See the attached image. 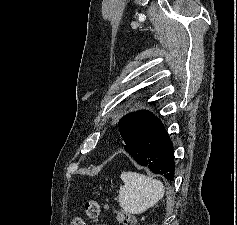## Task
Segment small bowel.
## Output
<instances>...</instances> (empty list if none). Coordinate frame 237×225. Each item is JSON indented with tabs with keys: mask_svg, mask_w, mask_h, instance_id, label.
I'll use <instances>...</instances> for the list:
<instances>
[{
	"mask_svg": "<svg viewBox=\"0 0 237 225\" xmlns=\"http://www.w3.org/2000/svg\"><path fill=\"white\" fill-rule=\"evenodd\" d=\"M98 225H107V224H98Z\"/></svg>",
	"mask_w": 237,
	"mask_h": 225,
	"instance_id": "obj_1",
	"label": "small bowel"
}]
</instances>
